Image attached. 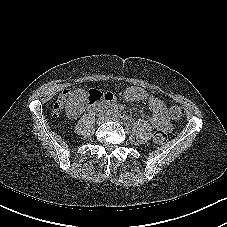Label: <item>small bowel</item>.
Listing matches in <instances>:
<instances>
[{
  "label": "small bowel",
  "instance_id": "c3829d8e",
  "mask_svg": "<svg viewBox=\"0 0 227 227\" xmlns=\"http://www.w3.org/2000/svg\"><path fill=\"white\" fill-rule=\"evenodd\" d=\"M124 98L134 102H147L152 111L151 123L153 127L164 131L170 129L171 125L168 118L167 108L160 98L139 87H131L127 89L124 93Z\"/></svg>",
  "mask_w": 227,
  "mask_h": 227
}]
</instances>
